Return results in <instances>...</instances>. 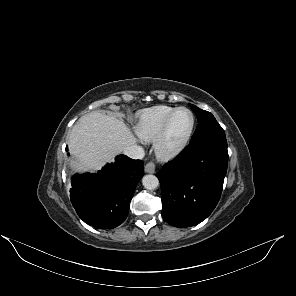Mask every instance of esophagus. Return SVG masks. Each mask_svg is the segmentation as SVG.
Masks as SVG:
<instances>
[{"mask_svg": "<svg viewBox=\"0 0 296 296\" xmlns=\"http://www.w3.org/2000/svg\"><path fill=\"white\" fill-rule=\"evenodd\" d=\"M155 163L154 162H148L147 164H146V166H145V171L147 172V173H154L155 172Z\"/></svg>", "mask_w": 296, "mask_h": 296, "instance_id": "34e87169", "label": "esophagus"}]
</instances>
